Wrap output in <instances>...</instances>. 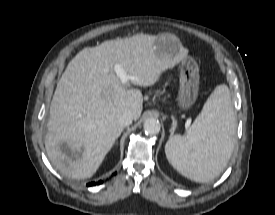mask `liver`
Here are the masks:
<instances>
[{
	"mask_svg": "<svg viewBox=\"0 0 275 215\" xmlns=\"http://www.w3.org/2000/svg\"><path fill=\"white\" fill-rule=\"evenodd\" d=\"M156 37L136 34L105 41L84 48L70 61L50 105L45 138L48 158L63 174L75 179L93 176L123 131L116 124L119 116L129 111L137 120L142 113L141 91L120 81L115 64L132 77V84L147 87L187 58L183 47L173 58L158 56L153 48ZM63 143L68 152L61 150Z\"/></svg>",
	"mask_w": 275,
	"mask_h": 215,
	"instance_id": "6515ba94",
	"label": "liver"
}]
</instances>
